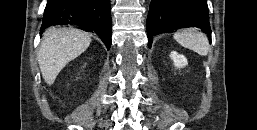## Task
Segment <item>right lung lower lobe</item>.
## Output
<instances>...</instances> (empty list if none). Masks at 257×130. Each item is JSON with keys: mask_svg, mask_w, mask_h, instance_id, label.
<instances>
[{"mask_svg": "<svg viewBox=\"0 0 257 130\" xmlns=\"http://www.w3.org/2000/svg\"><path fill=\"white\" fill-rule=\"evenodd\" d=\"M56 25H76L96 33L108 50L111 46L110 0H48L41 31Z\"/></svg>", "mask_w": 257, "mask_h": 130, "instance_id": "1", "label": "right lung lower lobe"}]
</instances>
